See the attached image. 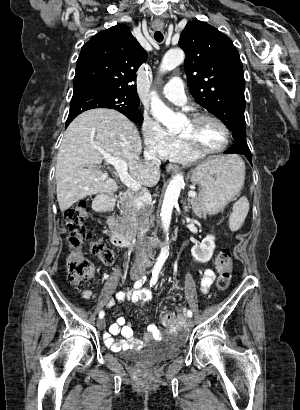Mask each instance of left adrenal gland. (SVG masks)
I'll list each match as a JSON object with an SVG mask.
<instances>
[{
	"label": "left adrenal gland",
	"instance_id": "a2214340",
	"mask_svg": "<svg viewBox=\"0 0 300 410\" xmlns=\"http://www.w3.org/2000/svg\"><path fill=\"white\" fill-rule=\"evenodd\" d=\"M183 210H184L185 212H189V207L186 205V199H185L184 202H183Z\"/></svg>",
	"mask_w": 300,
	"mask_h": 410
}]
</instances>
